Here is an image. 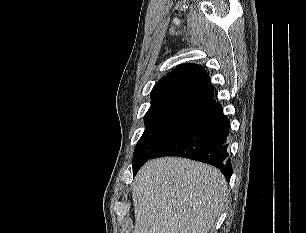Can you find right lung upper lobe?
I'll return each instance as SVG.
<instances>
[{"mask_svg": "<svg viewBox=\"0 0 306 233\" xmlns=\"http://www.w3.org/2000/svg\"><path fill=\"white\" fill-rule=\"evenodd\" d=\"M213 94L204 68L187 63L179 65L155 84L151 92V104L182 101L206 108L215 103Z\"/></svg>", "mask_w": 306, "mask_h": 233, "instance_id": "obj_1", "label": "right lung upper lobe"}]
</instances>
